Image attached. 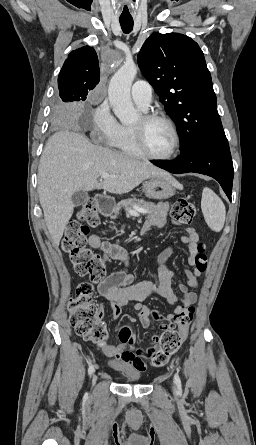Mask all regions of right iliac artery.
<instances>
[{"label":"right iliac artery","instance_id":"82829eb1","mask_svg":"<svg viewBox=\"0 0 256 445\" xmlns=\"http://www.w3.org/2000/svg\"><path fill=\"white\" fill-rule=\"evenodd\" d=\"M93 372H94V366H93V365H90L89 368H88V374H89V375H92Z\"/></svg>","mask_w":256,"mask_h":445}]
</instances>
